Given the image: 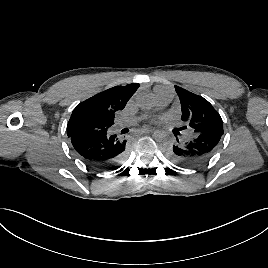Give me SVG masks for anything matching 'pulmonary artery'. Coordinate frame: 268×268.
I'll return each mask as SVG.
<instances>
[{"label": "pulmonary artery", "mask_w": 268, "mask_h": 268, "mask_svg": "<svg viewBox=\"0 0 268 268\" xmlns=\"http://www.w3.org/2000/svg\"><path fill=\"white\" fill-rule=\"evenodd\" d=\"M172 97L173 95L171 92L159 89L155 92L154 95V106L158 109L163 108L172 100ZM147 116H148L147 114H144L140 117H137L136 119L141 120L146 118ZM130 122L131 120L128 118L121 119L120 121H118L116 128L124 127L128 125Z\"/></svg>", "instance_id": "obj_1"}]
</instances>
